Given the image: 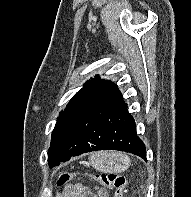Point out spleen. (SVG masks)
Masks as SVG:
<instances>
[{"label": "spleen", "instance_id": "3e777b00", "mask_svg": "<svg viewBox=\"0 0 191 197\" xmlns=\"http://www.w3.org/2000/svg\"><path fill=\"white\" fill-rule=\"evenodd\" d=\"M126 158L130 161V158L126 156Z\"/></svg>", "mask_w": 191, "mask_h": 197}]
</instances>
